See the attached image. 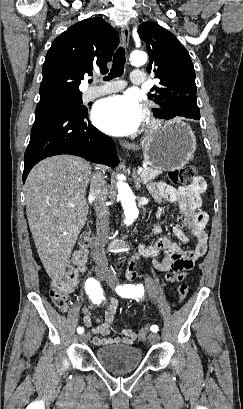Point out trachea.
I'll use <instances>...</instances> for the list:
<instances>
[{
	"label": "trachea",
	"mask_w": 243,
	"mask_h": 409,
	"mask_svg": "<svg viewBox=\"0 0 243 409\" xmlns=\"http://www.w3.org/2000/svg\"><path fill=\"white\" fill-rule=\"evenodd\" d=\"M125 65V50L123 47H119L114 54L112 68L110 73L104 80H111L116 77H120L124 72Z\"/></svg>",
	"instance_id": "trachea-1"
}]
</instances>
